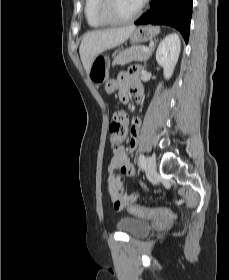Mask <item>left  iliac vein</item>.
Segmentation results:
<instances>
[{
    "mask_svg": "<svg viewBox=\"0 0 229 280\" xmlns=\"http://www.w3.org/2000/svg\"><path fill=\"white\" fill-rule=\"evenodd\" d=\"M147 171L150 175H152L156 171V160L153 156H149L147 158Z\"/></svg>",
    "mask_w": 229,
    "mask_h": 280,
    "instance_id": "1",
    "label": "left iliac vein"
}]
</instances>
